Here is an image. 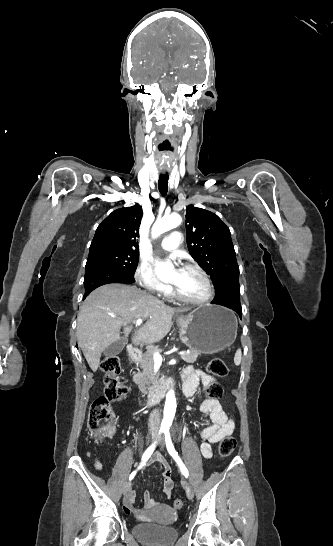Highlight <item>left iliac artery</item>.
Wrapping results in <instances>:
<instances>
[{
	"mask_svg": "<svg viewBox=\"0 0 333 546\" xmlns=\"http://www.w3.org/2000/svg\"><path fill=\"white\" fill-rule=\"evenodd\" d=\"M164 434H165L166 447H167V450H168L169 454L173 457V459L178 464L182 474L187 478L188 475H189L188 470L185 467L184 463L182 462L181 458L179 457L178 452L176 451V449H175V447H174V445L172 443L169 430L168 429L164 430Z\"/></svg>",
	"mask_w": 333,
	"mask_h": 546,
	"instance_id": "obj_1",
	"label": "left iliac artery"
}]
</instances>
